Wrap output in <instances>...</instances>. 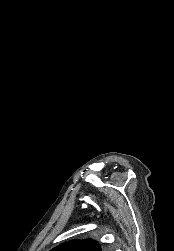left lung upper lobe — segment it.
Masks as SVG:
<instances>
[{
	"instance_id": "5c2ea615",
	"label": "left lung upper lobe",
	"mask_w": 174,
	"mask_h": 251,
	"mask_svg": "<svg viewBox=\"0 0 174 251\" xmlns=\"http://www.w3.org/2000/svg\"><path fill=\"white\" fill-rule=\"evenodd\" d=\"M51 251H102V247L93 240H72L58 245Z\"/></svg>"
}]
</instances>
